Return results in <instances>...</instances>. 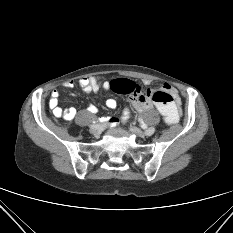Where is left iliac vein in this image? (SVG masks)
<instances>
[{"label": "left iliac vein", "instance_id": "obj_1", "mask_svg": "<svg viewBox=\"0 0 233 233\" xmlns=\"http://www.w3.org/2000/svg\"><path fill=\"white\" fill-rule=\"evenodd\" d=\"M130 131L140 137H144L146 135L143 130L136 127H130Z\"/></svg>", "mask_w": 233, "mask_h": 233}]
</instances>
